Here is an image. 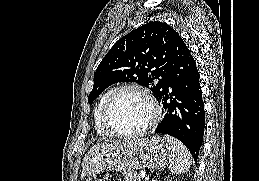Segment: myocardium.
Wrapping results in <instances>:
<instances>
[{
    "mask_svg": "<svg viewBox=\"0 0 259 181\" xmlns=\"http://www.w3.org/2000/svg\"><path fill=\"white\" fill-rule=\"evenodd\" d=\"M129 90L137 91L141 95H143V97L147 100V102L150 105L152 116L149 122L139 130L132 131V132H119L111 126L109 122V113L115 99L121 93ZM160 118H161V110L155 98L149 91V89L146 88L145 86H142L140 84H135V83L125 84L115 88L108 96L107 100L105 101L104 106L102 108V113H101V120H102L103 126L112 136H116L119 138H134V137L143 136L158 124V122L160 121Z\"/></svg>",
    "mask_w": 259,
    "mask_h": 181,
    "instance_id": "obj_1",
    "label": "myocardium"
}]
</instances>
